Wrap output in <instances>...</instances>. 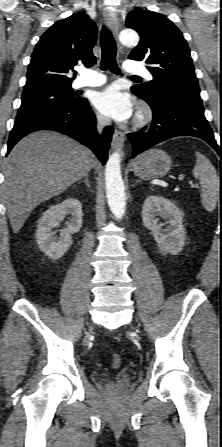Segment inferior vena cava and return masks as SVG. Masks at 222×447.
Masks as SVG:
<instances>
[{"instance_id": "obj_1", "label": "inferior vena cava", "mask_w": 222, "mask_h": 447, "mask_svg": "<svg viewBox=\"0 0 222 447\" xmlns=\"http://www.w3.org/2000/svg\"><path fill=\"white\" fill-rule=\"evenodd\" d=\"M101 123H102V124H110V120L107 119V118H102V119H101Z\"/></svg>"}]
</instances>
